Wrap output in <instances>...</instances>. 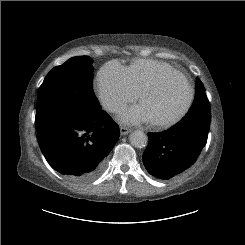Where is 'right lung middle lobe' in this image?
I'll use <instances>...</instances> for the list:
<instances>
[{
	"label": "right lung middle lobe",
	"instance_id": "dd1d6c3e",
	"mask_svg": "<svg viewBox=\"0 0 245 245\" xmlns=\"http://www.w3.org/2000/svg\"><path fill=\"white\" fill-rule=\"evenodd\" d=\"M92 60L73 57L54 67L38 91L36 128L67 114L100 110L92 92Z\"/></svg>",
	"mask_w": 245,
	"mask_h": 245
}]
</instances>
